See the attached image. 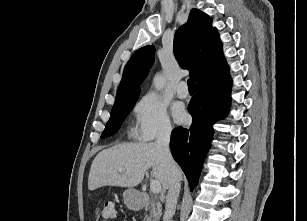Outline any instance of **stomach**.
<instances>
[{
	"mask_svg": "<svg viewBox=\"0 0 307 221\" xmlns=\"http://www.w3.org/2000/svg\"><path fill=\"white\" fill-rule=\"evenodd\" d=\"M125 204L129 208H137L140 205V199L137 190L129 188L123 192Z\"/></svg>",
	"mask_w": 307,
	"mask_h": 221,
	"instance_id": "1",
	"label": "stomach"
}]
</instances>
